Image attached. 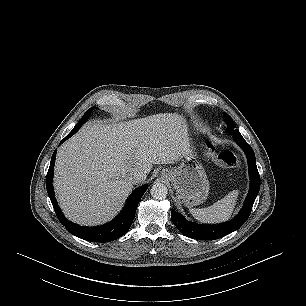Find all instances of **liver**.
Listing matches in <instances>:
<instances>
[{"label":"liver","instance_id":"liver-1","mask_svg":"<svg viewBox=\"0 0 306 306\" xmlns=\"http://www.w3.org/2000/svg\"><path fill=\"white\" fill-rule=\"evenodd\" d=\"M189 150L185 121L160 113L128 122L84 126L58 150L54 186L65 216L82 225L113 218L132 191L130 173L148 174Z\"/></svg>","mask_w":306,"mask_h":306}]
</instances>
